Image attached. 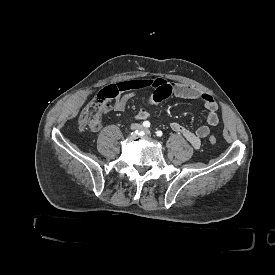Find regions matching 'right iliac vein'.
<instances>
[{"label":"right iliac vein","instance_id":"1","mask_svg":"<svg viewBox=\"0 0 275 275\" xmlns=\"http://www.w3.org/2000/svg\"><path fill=\"white\" fill-rule=\"evenodd\" d=\"M131 129H132V130L142 129V126H141L140 124H133V125L131 126Z\"/></svg>","mask_w":275,"mask_h":275}]
</instances>
